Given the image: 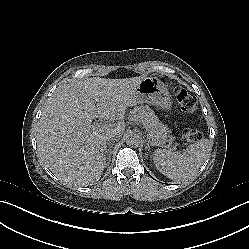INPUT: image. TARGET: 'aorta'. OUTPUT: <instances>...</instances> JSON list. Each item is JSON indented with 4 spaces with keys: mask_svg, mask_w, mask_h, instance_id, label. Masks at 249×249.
Listing matches in <instances>:
<instances>
[{
    "mask_svg": "<svg viewBox=\"0 0 249 249\" xmlns=\"http://www.w3.org/2000/svg\"><path fill=\"white\" fill-rule=\"evenodd\" d=\"M140 143V138L136 134H132L126 137V144L130 147H136Z\"/></svg>",
    "mask_w": 249,
    "mask_h": 249,
    "instance_id": "1",
    "label": "aorta"
}]
</instances>
